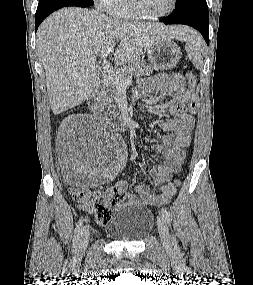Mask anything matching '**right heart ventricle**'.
<instances>
[{"mask_svg": "<svg viewBox=\"0 0 253 285\" xmlns=\"http://www.w3.org/2000/svg\"><path fill=\"white\" fill-rule=\"evenodd\" d=\"M109 12L118 19H134L137 17L131 7L130 0H114Z\"/></svg>", "mask_w": 253, "mask_h": 285, "instance_id": "e07e8e85", "label": "right heart ventricle"}]
</instances>
